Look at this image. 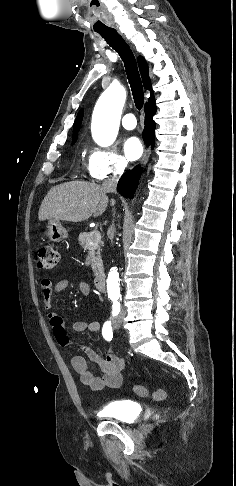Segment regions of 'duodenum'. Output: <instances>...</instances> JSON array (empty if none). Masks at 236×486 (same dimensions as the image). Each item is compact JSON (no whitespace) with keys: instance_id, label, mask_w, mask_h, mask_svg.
Segmentation results:
<instances>
[{"instance_id":"duodenum-1","label":"duodenum","mask_w":236,"mask_h":486,"mask_svg":"<svg viewBox=\"0 0 236 486\" xmlns=\"http://www.w3.org/2000/svg\"><path fill=\"white\" fill-rule=\"evenodd\" d=\"M94 285L97 290L103 292L106 289V278L103 273H99L94 278Z\"/></svg>"}]
</instances>
